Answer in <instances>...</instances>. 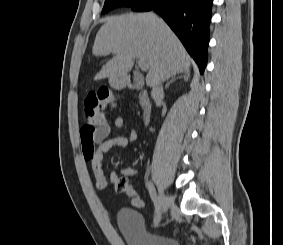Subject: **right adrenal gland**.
I'll list each match as a JSON object with an SVG mask.
<instances>
[{
  "label": "right adrenal gland",
  "instance_id": "2a0ac1e0",
  "mask_svg": "<svg viewBox=\"0 0 283 245\" xmlns=\"http://www.w3.org/2000/svg\"><path fill=\"white\" fill-rule=\"evenodd\" d=\"M190 78V74L189 72H184V74L182 75H178L177 77H173L172 79L169 80V82L166 84L165 89H168L170 84L173 83L175 80L177 79H184V81H188Z\"/></svg>",
  "mask_w": 283,
  "mask_h": 245
}]
</instances>
